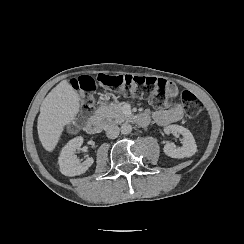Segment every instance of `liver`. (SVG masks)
<instances>
[{
  "label": "liver",
  "instance_id": "liver-1",
  "mask_svg": "<svg viewBox=\"0 0 244 244\" xmlns=\"http://www.w3.org/2000/svg\"><path fill=\"white\" fill-rule=\"evenodd\" d=\"M80 109L79 94L66 80L47 94L37 119L38 137L45 151L55 150L66 126L75 120Z\"/></svg>",
  "mask_w": 244,
  "mask_h": 244
}]
</instances>
